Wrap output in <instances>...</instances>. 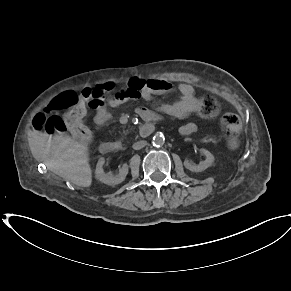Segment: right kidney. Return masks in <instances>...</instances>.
<instances>
[{"mask_svg":"<svg viewBox=\"0 0 291 291\" xmlns=\"http://www.w3.org/2000/svg\"><path fill=\"white\" fill-rule=\"evenodd\" d=\"M105 163V159L101 157L98 160L95 170V177L99 181L107 185H117L123 182L128 174V165L123 164V166L119 169V173L117 175H113L112 173H105L103 170V165Z\"/></svg>","mask_w":291,"mask_h":291,"instance_id":"1","label":"right kidney"}]
</instances>
